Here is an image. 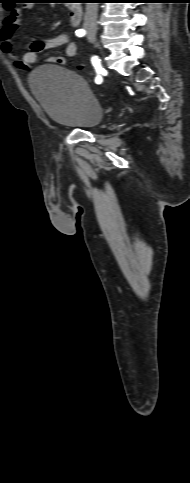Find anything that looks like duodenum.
<instances>
[{
	"instance_id": "obj_1",
	"label": "duodenum",
	"mask_w": 190,
	"mask_h": 483,
	"mask_svg": "<svg viewBox=\"0 0 190 483\" xmlns=\"http://www.w3.org/2000/svg\"><path fill=\"white\" fill-rule=\"evenodd\" d=\"M82 6L76 2L69 9V19L72 26H77L82 21Z\"/></svg>"
}]
</instances>
